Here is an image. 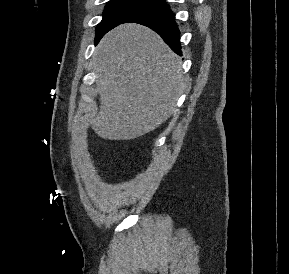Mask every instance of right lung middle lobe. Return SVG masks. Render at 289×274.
I'll list each match as a JSON object with an SVG mask.
<instances>
[{"label":"right lung middle lobe","mask_w":289,"mask_h":274,"mask_svg":"<svg viewBox=\"0 0 289 274\" xmlns=\"http://www.w3.org/2000/svg\"><path fill=\"white\" fill-rule=\"evenodd\" d=\"M162 2L163 0H110L102 21L97 25L95 42L98 43L105 33L119 24Z\"/></svg>","instance_id":"dd1d6c3e"}]
</instances>
